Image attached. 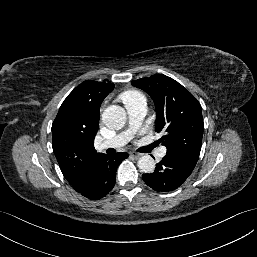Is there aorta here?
<instances>
[{"instance_id":"762f6f07","label":"aorta","mask_w":257,"mask_h":257,"mask_svg":"<svg viewBox=\"0 0 257 257\" xmlns=\"http://www.w3.org/2000/svg\"><path fill=\"white\" fill-rule=\"evenodd\" d=\"M126 119V111L118 105L107 107L102 114L103 123L110 129H121ZM138 168L143 173H151L155 169V161L150 155H144L138 160Z\"/></svg>"}]
</instances>
